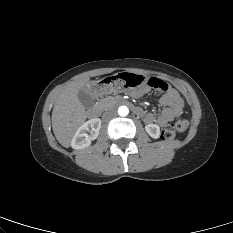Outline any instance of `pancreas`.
<instances>
[{"label": "pancreas", "instance_id": "pancreas-1", "mask_svg": "<svg viewBox=\"0 0 233 233\" xmlns=\"http://www.w3.org/2000/svg\"><path fill=\"white\" fill-rule=\"evenodd\" d=\"M113 104H114V98H112V97L104 98L98 102V105H100L104 108L110 107Z\"/></svg>", "mask_w": 233, "mask_h": 233}]
</instances>
